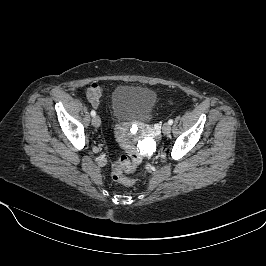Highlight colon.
<instances>
[{"label": "colon", "mask_w": 266, "mask_h": 266, "mask_svg": "<svg viewBox=\"0 0 266 266\" xmlns=\"http://www.w3.org/2000/svg\"><path fill=\"white\" fill-rule=\"evenodd\" d=\"M142 158L143 156L139 150L128 149L127 155L120 157L112 165L111 175L113 180L125 186H132L134 180L128 174L136 170Z\"/></svg>", "instance_id": "obj_1"}]
</instances>
